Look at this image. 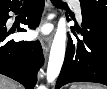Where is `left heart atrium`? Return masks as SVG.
Returning a JSON list of instances; mask_svg holds the SVG:
<instances>
[{
  "instance_id": "39dd6f15",
  "label": "left heart atrium",
  "mask_w": 107,
  "mask_h": 89,
  "mask_svg": "<svg viewBox=\"0 0 107 89\" xmlns=\"http://www.w3.org/2000/svg\"><path fill=\"white\" fill-rule=\"evenodd\" d=\"M49 31V27H43L41 32L42 33H47Z\"/></svg>"
}]
</instances>
